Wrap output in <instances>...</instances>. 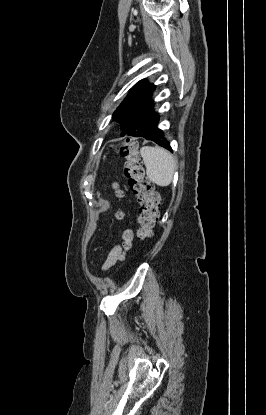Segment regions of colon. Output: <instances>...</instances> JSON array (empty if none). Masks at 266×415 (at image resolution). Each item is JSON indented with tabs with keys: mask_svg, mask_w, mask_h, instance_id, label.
Instances as JSON below:
<instances>
[{
	"mask_svg": "<svg viewBox=\"0 0 266 415\" xmlns=\"http://www.w3.org/2000/svg\"><path fill=\"white\" fill-rule=\"evenodd\" d=\"M118 150L126 159L125 175L129 187L140 205L138 237L140 239L150 238L159 217L160 195L156 191L153 181L146 174L137 143L132 139H125L118 146ZM116 191L118 195H121L118 188ZM117 217L121 218L122 214L118 213Z\"/></svg>",
	"mask_w": 266,
	"mask_h": 415,
	"instance_id": "colon-1",
	"label": "colon"
}]
</instances>
